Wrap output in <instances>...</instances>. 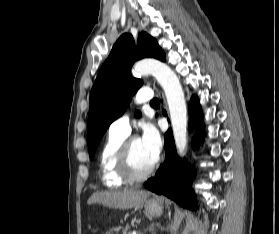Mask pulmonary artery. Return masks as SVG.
Returning a JSON list of instances; mask_svg holds the SVG:
<instances>
[{
	"mask_svg": "<svg viewBox=\"0 0 279 234\" xmlns=\"http://www.w3.org/2000/svg\"><path fill=\"white\" fill-rule=\"evenodd\" d=\"M152 99V92L150 89H142L135 97L136 103H145ZM110 131L127 135L130 132L129 114L124 113L119 118L114 120L110 125Z\"/></svg>",
	"mask_w": 279,
	"mask_h": 234,
	"instance_id": "e3ab8cb5",
	"label": "pulmonary artery"
}]
</instances>
